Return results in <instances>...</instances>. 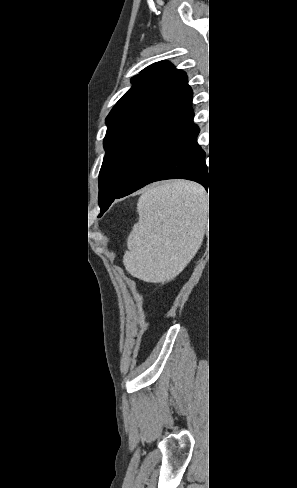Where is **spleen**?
<instances>
[{"label": "spleen", "instance_id": "1", "mask_svg": "<svg viewBox=\"0 0 297 488\" xmlns=\"http://www.w3.org/2000/svg\"><path fill=\"white\" fill-rule=\"evenodd\" d=\"M205 190L187 181L150 187L138 200L139 220L128 237L125 269L146 282H165L179 274L200 246L198 220Z\"/></svg>", "mask_w": 297, "mask_h": 488}]
</instances>
